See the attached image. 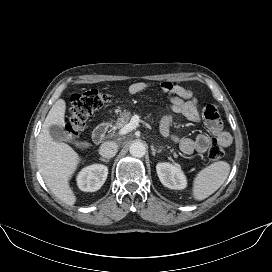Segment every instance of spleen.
I'll return each instance as SVG.
<instances>
[{
    "instance_id": "spleen-1",
    "label": "spleen",
    "mask_w": 272,
    "mask_h": 272,
    "mask_svg": "<svg viewBox=\"0 0 272 272\" xmlns=\"http://www.w3.org/2000/svg\"><path fill=\"white\" fill-rule=\"evenodd\" d=\"M230 165L226 161L215 162L198 172L193 182V197L201 201L217 191L227 179Z\"/></svg>"
}]
</instances>
